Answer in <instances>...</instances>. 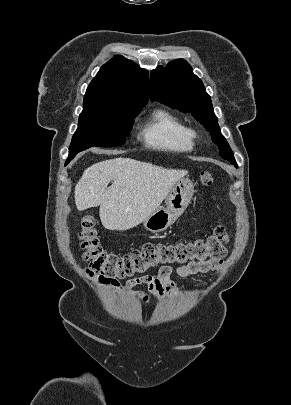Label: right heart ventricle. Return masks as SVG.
<instances>
[{
  "mask_svg": "<svg viewBox=\"0 0 291 405\" xmlns=\"http://www.w3.org/2000/svg\"><path fill=\"white\" fill-rule=\"evenodd\" d=\"M140 135L152 148L183 153L193 149L190 127L176 114L166 109H156L144 121Z\"/></svg>",
  "mask_w": 291,
  "mask_h": 405,
  "instance_id": "right-heart-ventricle-1",
  "label": "right heart ventricle"
}]
</instances>
